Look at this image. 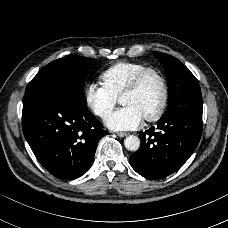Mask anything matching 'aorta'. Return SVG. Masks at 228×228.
Segmentation results:
<instances>
[{"label": "aorta", "mask_w": 228, "mask_h": 228, "mask_svg": "<svg viewBox=\"0 0 228 228\" xmlns=\"http://www.w3.org/2000/svg\"><path fill=\"white\" fill-rule=\"evenodd\" d=\"M124 145L129 151H137L140 147V139L134 135L127 136L124 140Z\"/></svg>", "instance_id": "obj_1"}]
</instances>
